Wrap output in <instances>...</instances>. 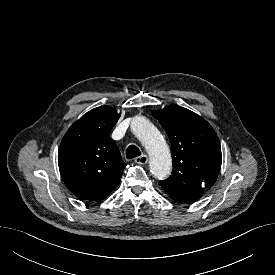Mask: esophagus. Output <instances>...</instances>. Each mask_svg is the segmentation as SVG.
<instances>
[{"mask_svg": "<svg viewBox=\"0 0 275 275\" xmlns=\"http://www.w3.org/2000/svg\"><path fill=\"white\" fill-rule=\"evenodd\" d=\"M135 162H136L137 164L144 165V164H146V163L148 162V156L145 155V154H143V155H141V156L135 158Z\"/></svg>", "mask_w": 275, "mask_h": 275, "instance_id": "1", "label": "esophagus"}]
</instances>
